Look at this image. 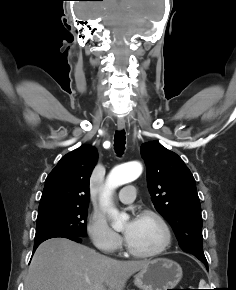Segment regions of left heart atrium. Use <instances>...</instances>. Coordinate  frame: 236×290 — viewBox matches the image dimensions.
Wrapping results in <instances>:
<instances>
[{
	"label": "left heart atrium",
	"instance_id": "obj_1",
	"mask_svg": "<svg viewBox=\"0 0 236 290\" xmlns=\"http://www.w3.org/2000/svg\"><path fill=\"white\" fill-rule=\"evenodd\" d=\"M137 221H138V218H133L127 225L126 229H125V238L126 240H128L131 235H132V232L137 224Z\"/></svg>",
	"mask_w": 236,
	"mask_h": 290
}]
</instances>
